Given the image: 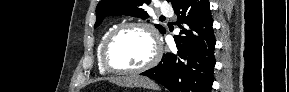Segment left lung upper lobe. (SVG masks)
<instances>
[{"label": "left lung upper lobe", "instance_id": "1", "mask_svg": "<svg viewBox=\"0 0 289 92\" xmlns=\"http://www.w3.org/2000/svg\"><path fill=\"white\" fill-rule=\"evenodd\" d=\"M173 3L175 0H167ZM150 0H101L96 7V23L94 28L98 27L106 16L130 15L141 19H147L149 15L144 10ZM161 32L165 33V28L161 25H155Z\"/></svg>", "mask_w": 289, "mask_h": 92}]
</instances>
